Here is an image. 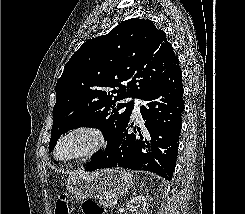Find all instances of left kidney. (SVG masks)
Wrapping results in <instances>:
<instances>
[{
  "label": "left kidney",
  "instance_id": "1",
  "mask_svg": "<svg viewBox=\"0 0 245 214\" xmlns=\"http://www.w3.org/2000/svg\"><path fill=\"white\" fill-rule=\"evenodd\" d=\"M126 207L132 214H148L147 200L146 197L142 195L133 197L126 204Z\"/></svg>",
  "mask_w": 245,
  "mask_h": 214
}]
</instances>
